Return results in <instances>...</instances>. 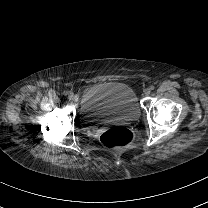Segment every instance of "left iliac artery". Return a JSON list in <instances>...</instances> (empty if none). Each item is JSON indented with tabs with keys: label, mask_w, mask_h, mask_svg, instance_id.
I'll use <instances>...</instances> for the list:
<instances>
[{
	"label": "left iliac artery",
	"mask_w": 208,
	"mask_h": 208,
	"mask_svg": "<svg viewBox=\"0 0 208 208\" xmlns=\"http://www.w3.org/2000/svg\"><path fill=\"white\" fill-rule=\"evenodd\" d=\"M150 89H151V90H154V89H155V87L152 85V86H150Z\"/></svg>",
	"instance_id": "1"
}]
</instances>
